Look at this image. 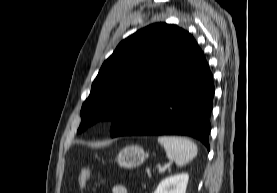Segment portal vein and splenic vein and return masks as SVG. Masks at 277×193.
Returning a JSON list of instances; mask_svg holds the SVG:
<instances>
[{"instance_id": "obj_1", "label": "portal vein and splenic vein", "mask_w": 277, "mask_h": 193, "mask_svg": "<svg viewBox=\"0 0 277 193\" xmlns=\"http://www.w3.org/2000/svg\"><path fill=\"white\" fill-rule=\"evenodd\" d=\"M165 170L166 168L164 166H160L158 171L161 173V172H164ZM147 173L150 174V171H148Z\"/></svg>"}]
</instances>
